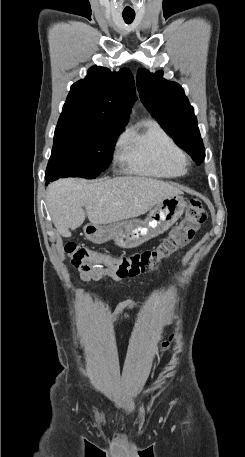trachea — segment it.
Segmentation results:
<instances>
[{
  "mask_svg": "<svg viewBox=\"0 0 245 457\" xmlns=\"http://www.w3.org/2000/svg\"><path fill=\"white\" fill-rule=\"evenodd\" d=\"M134 18H135V13H123V19L127 24L132 23Z\"/></svg>",
  "mask_w": 245,
  "mask_h": 457,
  "instance_id": "obj_1",
  "label": "trachea"
}]
</instances>
